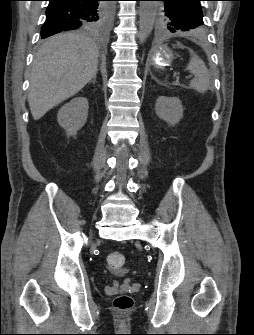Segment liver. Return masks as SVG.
I'll return each mask as SVG.
<instances>
[{
    "instance_id": "obj_1",
    "label": "liver",
    "mask_w": 254,
    "mask_h": 335,
    "mask_svg": "<svg viewBox=\"0 0 254 335\" xmlns=\"http://www.w3.org/2000/svg\"><path fill=\"white\" fill-rule=\"evenodd\" d=\"M99 49L89 37L61 33L38 50L32 65L28 103L34 120L78 93L98 71Z\"/></svg>"
}]
</instances>
